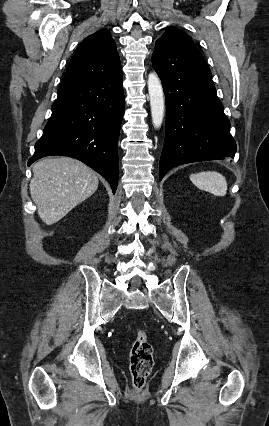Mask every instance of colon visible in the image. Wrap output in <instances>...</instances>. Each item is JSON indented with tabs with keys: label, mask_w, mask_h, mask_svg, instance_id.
Returning a JSON list of instances; mask_svg holds the SVG:
<instances>
[{
	"label": "colon",
	"mask_w": 269,
	"mask_h": 426,
	"mask_svg": "<svg viewBox=\"0 0 269 426\" xmlns=\"http://www.w3.org/2000/svg\"><path fill=\"white\" fill-rule=\"evenodd\" d=\"M153 367V348L144 330L135 334L130 350V371L134 390L140 391Z\"/></svg>",
	"instance_id": "obj_1"
}]
</instances>
